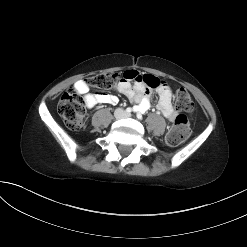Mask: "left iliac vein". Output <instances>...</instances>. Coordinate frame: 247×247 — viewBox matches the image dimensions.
I'll use <instances>...</instances> for the list:
<instances>
[{"mask_svg":"<svg viewBox=\"0 0 247 247\" xmlns=\"http://www.w3.org/2000/svg\"><path fill=\"white\" fill-rule=\"evenodd\" d=\"M125 117L129 118V117H131V114H130V113H127V114L125 115Z\"/></svg>","mask_w":247,"mask_h":247,"instance_id":"left-iliac-vein-1","label":"left iliac vein"}]
</instances>
